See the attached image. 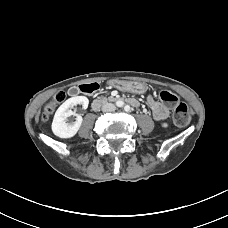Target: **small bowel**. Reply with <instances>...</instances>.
<instances>
[{"mask_svg": "<svg viewBox=\"0 0 228 228\" xmlns=\"http://www.w3.org/2000/svg\"><path fill=\"white\" fill-rule=\"evenodd\" d=\"M115 85L119 89H123V90H129L132 87L130 84L125 83V82H116ZM130 103L135 107L139 106V102L135 99H131ZM147 103L152 111L154 118L157 121H163L164 119L167 118V116L169 114L168 108L161 102L154 99V97L152 95L147 96Z\"/></svg>", "mask_w": 228, "mask_h": 228, "instance_id": "1", "label": "small bowel"}]
</instances>
